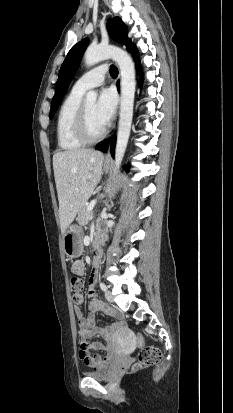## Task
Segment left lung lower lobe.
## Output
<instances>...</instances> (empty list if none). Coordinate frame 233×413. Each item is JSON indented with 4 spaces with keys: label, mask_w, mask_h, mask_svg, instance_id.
Here are the masks:
<instances>
[{
    "label": "left lung lower lobe",
    "mask_w": 233,
    "mask_h": 413,
    "mask_svg": "<svg viewBox=\"0 0 233 413\" xmlns=\"http://www.w3.org/2000/svg\"><path fill=\"white\" fill-rule=\"evenodd\" d=\"M128 51H129V52L132 54V56L134 57L137 65H138V67H140V66H139V60H138V51H137L136 47H135V46H132ZM139 70H140V68H139ZM140 75H141V72H140ZM141 79H142V78H140V82H141ZM109 143H110V140H106V141H104L103 143H101L100 145H98V146L96 147V149H97V150H100V151H102V152H106V151L108 150ZM114 146H115V137H113V141H112V145H111V153H112L113 156H114ZM126 169L128 170V167H127Z\"/></svg>",
    "instance_id": "1"
}]
</instances>
